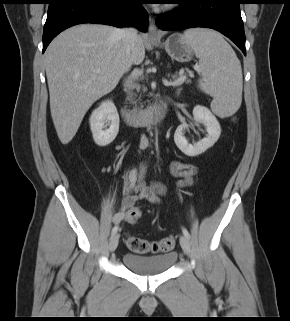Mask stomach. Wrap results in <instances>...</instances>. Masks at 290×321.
<instances>
[{"label":"stomach","mask_w":290,"mask_h":321,"mask_svg":"<svg viewBox=\"0 0 290 321\" xmlns=\"http://www.w3.org/2000/svg\"><path fill=\"white\" fill-rule=\"evenodd\" d=\"M152 44L164 47L172 59L181 63L190 61L194 55V50L182 40V35L180 34H172L164 43L152 41Z\"/></svg>","instance_id":"1"}]
</instances>
